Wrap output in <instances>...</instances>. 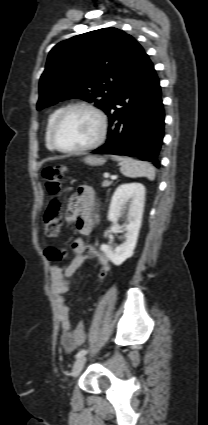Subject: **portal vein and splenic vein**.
Returning <instances> with one entry per match:
<instances>
[{"mask_svg":"<svg viewBox=\"0 0 208 425\" xmlns=\"http://www.w3.org/2000/svg\"><path fill=\"white\" fill-rule=\"evenodd\" d=\"M104 178H109V174L108 173H104ZM112 179H115V177H112Z\"/></svg>","mask_w":208,"mask_h":425,"instance_id":"obj_1","label":"portal vein and splenic vein"}]
</instances>
